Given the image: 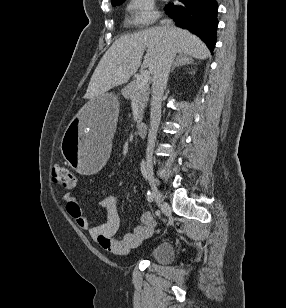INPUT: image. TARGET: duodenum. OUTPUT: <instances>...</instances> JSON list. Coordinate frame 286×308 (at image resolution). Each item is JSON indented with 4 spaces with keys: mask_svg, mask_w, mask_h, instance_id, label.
<instances>
[{
    "mask_svg": "<svg viewBox=\"0 0 286 308\" xmlns=\"http://www.w3.org/2000/svg\"><path fill=\"white\" fill-rule=\"evenodd\" d=\"M148 125L146 122H140L137 124L136 131L137 134L141 137L145 136L147 133Z\"/></svg>",
    "mask_w": 286,
    "mask_h": 308,
    "instance_id": "obj_1",
    "label": "duodenum"
}]
</instances>
